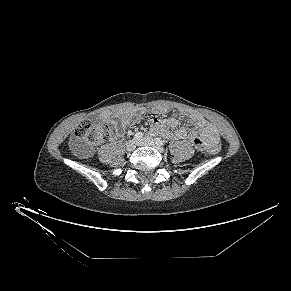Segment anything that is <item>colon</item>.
<instances>
[{
	"instance_id": "5ec220e1",
	"label": "colon",
	"mask_w": 291,
	"mask_h": 291,
	"mask_svg": "<svg viewBox=\"0 0 291 291\" xmlns=\"http://www.w3.org/2000/svg\"><path fill=\"white\" fill-rule=\"evenodd\" d=\"M111 128L103 122H81L75 130L73 146L77 147V141L83 142L88 148L105 142L111 136ZM210 155H216L220 151L219 142L207 147Z\"/></svg>"
}]
</instances>
